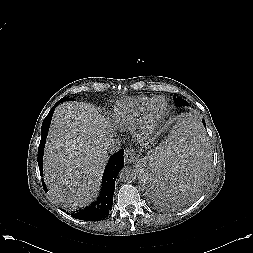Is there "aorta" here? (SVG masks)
<instances>
[{
	"instance_id": "aorta-1",
	"label": "aorta",
	"mask_w": 253,
	"mask_h": 253,
	"mask_svg": "<svg viewBox=\"0 0 253 253\" xmlns=\"http://www.w3.org/2000/svg\"><path fill=\"white\" fill-rule=\"evenodd\" d=\"M119 177L123 182H132L136 179V171L131 167H124L121 169Z\"/></svg>"
}]
</instances>
